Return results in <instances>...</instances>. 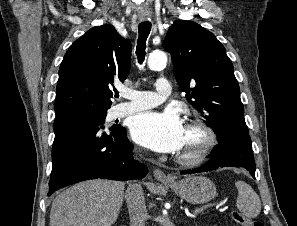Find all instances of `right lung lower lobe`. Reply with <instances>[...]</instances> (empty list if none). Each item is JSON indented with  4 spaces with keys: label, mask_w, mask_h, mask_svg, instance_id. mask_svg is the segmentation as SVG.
I'll use <instances>...</instances> for the list:
<instances>
[{
    "label": "right lung lower lobe",
    "mask_w": 297,
    "mask_h": 226,
    "mask_svg": "<svg viewBox=\"0 0 297 226\" xmlns=\"http://www.w3.org/2000/svg\"><path fill=\"white\" fill-rule=\"evenodd\" d=\"M52 172L48 196L65 186L87 179L125 181L143 178L147 167L134 160L133 145L125 128L104 131L103 124L80 110L54 121Z\"/></svg>",
    "instance_id": "1"
}]
</instances>
